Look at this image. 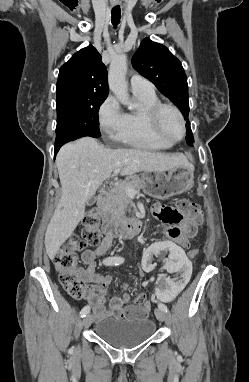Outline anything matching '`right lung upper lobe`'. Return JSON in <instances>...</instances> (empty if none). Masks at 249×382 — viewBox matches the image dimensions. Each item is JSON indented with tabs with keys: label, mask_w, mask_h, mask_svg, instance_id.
<instances>
[{
	"label": "right lung upper lobe",
	"mask_w": 249,
	"mask_h": 382,
	"mask_svg": "<svg viewBox=\"0 0 249 382\" xmlns=\"http://www.w3.org/2000/svg\"><path fill=\"white\" fill-rule=\"evenodd\" d=\"M107 70L92 46L75 53L59 70L56 107L108 96Z\"/></svg>",
	"instance_id": "1"
}]
</instances>
